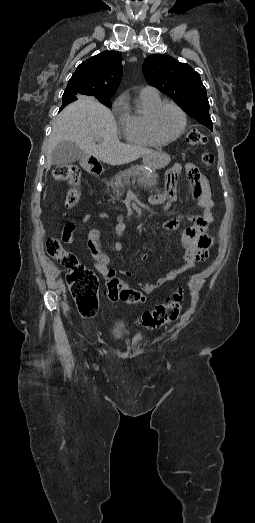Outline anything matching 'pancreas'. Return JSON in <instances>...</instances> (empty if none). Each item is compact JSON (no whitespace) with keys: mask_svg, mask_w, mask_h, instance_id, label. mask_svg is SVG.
<instances>
[{"mask_svg":"<svg viewBox=\"0 0 255 523\" xmlns=\"http://www.w3.org/2000/svg\"><path fill=\"white\" fill-rule=\"evenodd\" d=\"M130 178H132V184L137 182V184H141L144 188H150V186L157 184L158 174H155V172L148 174L147 170H144L142 166H133L130 170L119 172L114 180H110L108 188H112L113 194L119 198V196H122L120 190H123L125 184H130Z\"/></svg>","mask_w":255,"mask_h":523,"instance_id":"1","label":"pancreas"}]
</instances>
